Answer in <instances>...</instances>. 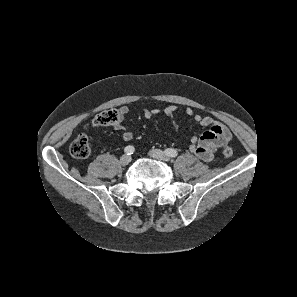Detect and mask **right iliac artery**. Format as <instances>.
Returning a JSON list of instances; mask_svg holds the SVG:
<instances>
[{
    "label": "right iliac artery",
    "mask_w": 297,
    "mask_h": 297,
    "mask_svg": "<svg viewBox=\"0 0 297 297\" xmlns=\"http://www.w3.org/2000/svg\"><path fill=\"white\" fill-rule=\"evenodd\" d=\"M134 151H135V149H134V147L131 146V145L125 147V149H124V152H125L127 155H131V154H133Z\"/></svg>",
    "instance_id": "right-iliac-artery-1"
}]
</instances>
